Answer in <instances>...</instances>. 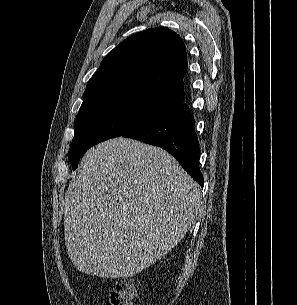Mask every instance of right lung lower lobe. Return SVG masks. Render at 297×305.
<instances>
[{
  "instance_id": "right-lung-lower-lobe-1",
  "label": "right lung lower lobe",
  "mask_w": 297,
  "mask_h": 305,
  "mask_svg": "<svg viewBox=\"0 0 297 305\" xmlns=\"http://www.w3.org/2000/svg\"><path fill=\"white\" fill-rule=\"evenodd\" d=\"M194 125L193 115L188 105L182 101L147 124L124 134L123 137L137 139L167 150L203 187L204 180L199 169V146Z\"/></svg>"
}]
</instances>
